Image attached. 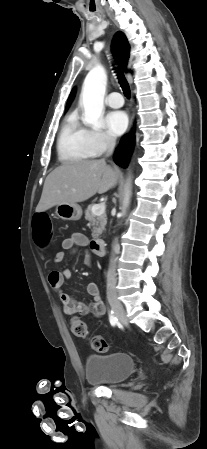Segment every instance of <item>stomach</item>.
I'll use <instances>...</instances> for the list:
<instances>
[{"label": "stomach", "instance_id": "1", "mask_svg": "<svg viewBox=\"0 0 207 449\" xmlns=\"http://www.w3.org/2000/svg\"><path fill=\"white\" fill-rule=\"evenodd\" d=\"M55 214L63 220L77 221L82 217V208L74 204H59L56 206Z\"/></svg>", "mask_w": 207, "mask_h": 449}]
</instances>
